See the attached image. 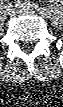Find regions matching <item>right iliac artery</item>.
Wrapping results in <instances>:
<instances>
[{
  "mask_svg": "<svg viewBox=\"0 0 63 107\" xmlns=\"http://www.w3.org/2000/svg\"><path fill=\"white\" fill-rule=\"evenodd\" d=\"M10 7H12V5H11L10 3H8V4L6 5L7 10H9Z\"/></svg>",
  "mask_w": 63,
  "mask_h": 107,
  "instance_id": "right-iliac-artery-1",
  "label": "right iliac artery"
}]
</instances>
